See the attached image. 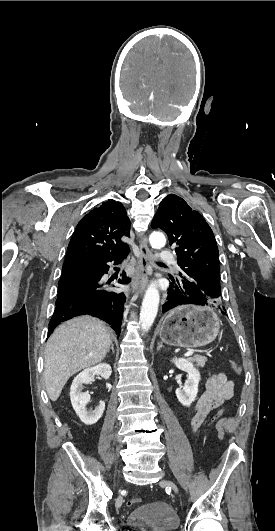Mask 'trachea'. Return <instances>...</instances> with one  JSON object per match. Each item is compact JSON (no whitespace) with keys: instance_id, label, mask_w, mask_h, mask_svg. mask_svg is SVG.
<instances>
[{"instance_id":"trachea-1","label":"trachea","mask_w":275,"mask_h":531,"mask_svg":"<svg viewBox=\"0 0 275 531\" xmlns=\"http://www.w3.org/2000/svg\"><path fill=\"white\" fill-rule=\"evenodd\" d=\"M158 264L161 265V266H165L163 263H158Z\"/></svg>"}]
</instances>
